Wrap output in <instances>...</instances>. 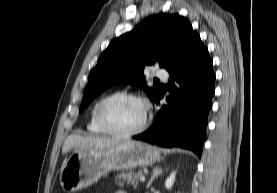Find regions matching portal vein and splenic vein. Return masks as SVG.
<instances>
[{"label":"portal vein and splenic vein","mask_w":277,"mask_h":193,"mask_svg":"<svg viewBox=\"0 0 277 193\" xmlns=\"http://www.w3.org/2000/svg\"><path fill=\"white\" fill-rule=\"evenodd\" d=\"M140 181H145V177H144V176H141V177H140Z\"/></svg>","instance_id":"1"}]
</instances>
